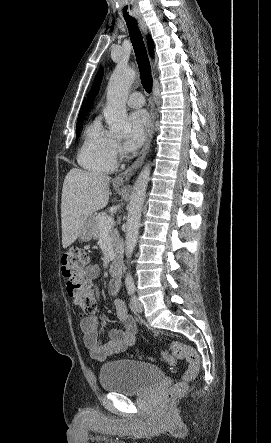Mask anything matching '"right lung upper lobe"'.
<instances>
[{"mask_svg":"<svg viewBox=\"0 0 271 443\" xmlns=\"http://www.w3.org/2000/svg\"><path fill=\"white\" fill-rule=\"evenodd\" d=\"M147 41H148V48H149V53L151 55V57H153L154 55V43L153 40L151 38L150 35L147 36ZM84 114H85V100L83 101V104L81 106L80 112H79V116H78V120L84 119Z\"/></svg>","mask_w":271,"mask_h":443,"instance_id":"cb5924a9","label":"right lung upper lobe"}]
</instances>
